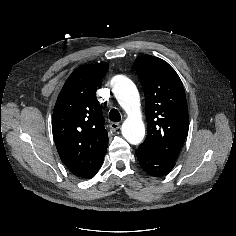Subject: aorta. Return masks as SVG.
I'll return each instance as SVG.
<instances>
[{"label": "aorta", "mask_w": 236, "mask_h": 236, "mask_svg": "<svg viewBox=\"0 0 236 236\" xmlns=\"http://www.w3.org/2000/svg\"><path fill=\"white\" fill-rule=\"evenodd\" d=\"M113 92L128 117L122 124V135L131 144H140L145 136V126L140 112V97L135 84L123 75L112 81Z\"/></svg>", "instance_id": "762f6f07"}]
</instances>
